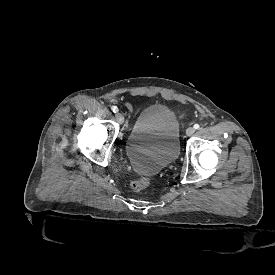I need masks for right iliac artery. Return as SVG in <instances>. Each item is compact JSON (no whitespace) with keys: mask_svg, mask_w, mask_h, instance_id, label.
<instances>
[{"mask_svg":"<svg viewBox=\"0 0 275 275\" xmlns=\"http://www.w3.org/2000/svg\"><path fill=\"white\" fill-rule=\"evenodd\" d=\"M111 109L114 113L118 112V108L116 106H112Z\"/></svg>","mask_w":275,"mask_h":275,"instance_id":"1","label":"right iliac artery"}]
</instances>
